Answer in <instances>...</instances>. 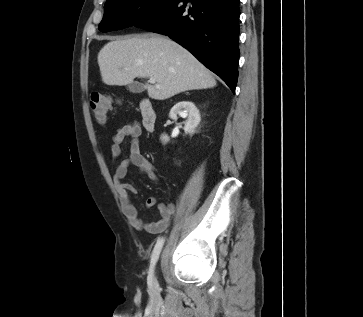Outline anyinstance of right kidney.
<instances>
[{
    "label": "right kidney",
    "mask_w": 363,
    "mask_h": 317,
    "mask_svg": "<svg viewBox=\"0 0 363 317\" xmlns=\"http://www.w3.org/2000/svg\"><path fill=\"white\" fill-rule=\"evenodd\" d=\"M177 115L182 118H187V120L184 122L185 134H194L195 128L198 126L201 120L199 110L195 104L190 101L178 102L170 110L169 117L175 119L177 118ZM160 139L164 143L169 141V137L166 134H162Z\"/></svg>",
    "instance_id": "1"
}]
</instances>
